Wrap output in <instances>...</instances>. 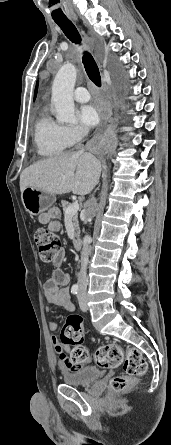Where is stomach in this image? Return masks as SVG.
<instances>
[{
    "mask_svg": "<svg viewBox=\"0 0 171 445\" xmlns=\"http://www.w3.org/2000/svg\"><path fill=\"white\" fill-rule=\"evenodd\" d=\"M21 199L25 210L33 216L49 210L56 201L54 195L34 187H26L21 192Z\"/></svg>",
    "mask_w": 171,
    "mask_h": 445,
    "instance_id": "obj_1",
    "label": "stomach"
}]
</instances>
